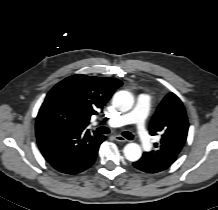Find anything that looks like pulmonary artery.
Listing matches in <instances>:
<instances>
[{"mask_svg": "<svg viewBox=\"0 0 218 210\" xmlns=\"http://www.w3.org/2000/svg\"><path fill=\"white\" fill-rule=\"evenodd\" d=\"M151 103V96L148 94H142L138 98L137 105L133 111L111 118L107 121V124L111 127H120L132 123L136 124L137 136L142 147L145 150H150L152 147V141L145 129V120Z\"/></svg>", "mask_w": 218, "mask_h": 210, "instance_id": "obj_1", "label": "pulmonary artery"}]
</instances>
